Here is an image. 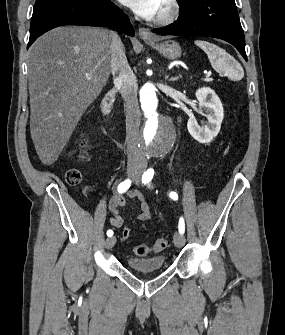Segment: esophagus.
I'll return each mask as SVG.
<instances>
[{
    "label": "esophagus",
    "mask_w": 285,
    "mask_h": 335,
    "mask_svg": "<svg viewBox=\"0 0 285 335\" xmlns=\"http://www.w3.org/2000/svg\"><path fill=\"white\" fill-rule=\"evenodd\" d=\"M139 37L144 40H152L154 38L151 31L144 27L139 28Z\"/></svg>",
    "instance_id": "obj_1"
}]
</instances>
